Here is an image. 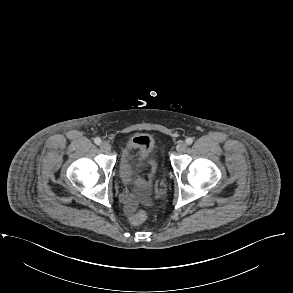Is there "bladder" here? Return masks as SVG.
<instances>
[{"label":"bladder","mask_w":293,"mask_h":293,"mask_svg":"<svg viewBox=\"0 0 293 293\" xmlns=\"http://www.w3.org/2000/svg\"><path fill=\"white\" fill-rule=\"evenodd\" d=\"M152 155V148L127 143L122 150L119 162L120 178L124 182L131 183L133 178L142 172L144 165Z\"/></svg>","instance_id":"31cf9c89"}]
</instances>
